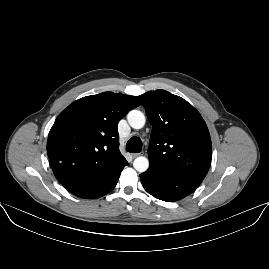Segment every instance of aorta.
<instances>
[{"label": "aorta", "instance_id": "762f6f07", "mask_svg": "<svg viewBox=\"0 0 269 269\" xmlns=\"http://www.w3.org/2000/svg\"><path fill=\"white\" fill-rule=\"evenodd\" d=\"M129 125L134 129H141L145 125V116L139 110H131L127 115ZM133 167L138 172H145L149 167V160L144 156L137 157L133 162Z\"/></svg>", "mask_w": 269, "mask_h": 269}]
</instances>
